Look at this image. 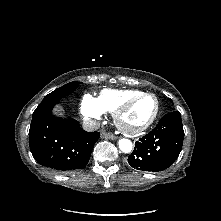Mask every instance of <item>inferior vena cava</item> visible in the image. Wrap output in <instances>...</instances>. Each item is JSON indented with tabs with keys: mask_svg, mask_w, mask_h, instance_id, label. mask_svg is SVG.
<instances>
[{
	"mask_svg": "<svg viewBox=\"0 0 221 221\" xmlns=\"http://www.w3.org/2000/svg\"><path fill=\"white\" fill-rule=\"evenodd\" d=\"M100 127V123L96 120H87L83 122V129L86 131H94Z\"/></svg>",
	"mask_w": 221,
	"mask_h": 221,
	"instance_id": "1",
	"label": "inferior vena cava"
}]
</instances>
